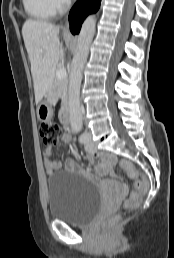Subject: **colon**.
Returning a JSON list of instances; mask_svg holds the SVG:
<instances>
[{
	"label": "colon",
	"mask_w": 174,
	"mask_h": 258,
	"mask_svg": "<svg viewBox=\"0 0 174 258\" xmlns=\"http://www.w3.org/2000/svg\"><path fill=\"white\" fill-rule=\"evenodd\" d=\"M40 135L45 145L54 146L57 144L59 137L61 136L62 130L61 127L54 122H43L39 128ZM122 169L135 180L134 182V190L129 198L125 201L124 207L126 209H131L137 206L143 196L144 193V183L138 179L139 171L137 168L128 160L121 161ZM119 223V217L114 215L110 217L105 225V231L107 235H111L114 233L117 225Z\"/></svg>",
	"instance_id": "obj_1"
}]
</instances>
